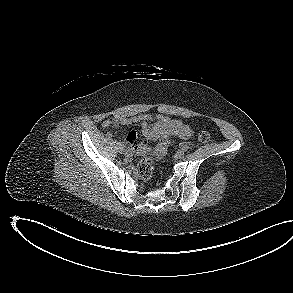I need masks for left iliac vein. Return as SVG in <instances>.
I'll return each instance as SVG.
<instances>
[{"label": "left iliac vein", "instance_id": "obj_1", "mask_svg": "<svg viewBox=\"0 0 293 293\" xmlns=\"http://www.w3.org/2000/svg\"><path fill=\"white\" fill-rule=\"evenodd\" d=\"M184 157V151L178 150L176 153V158L177 159H182Z\"/></svg>", "mask_w": 293, "mask_h": 293}]
</instances>
